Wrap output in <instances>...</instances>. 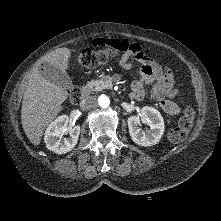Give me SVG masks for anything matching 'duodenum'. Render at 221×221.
<instances>
[{
  "label": "duodenum",
  "instance_id": "duodenum-1",
  "mask_svg": "<svg viewBox=\"0 0 221 221\" xmlns=\"http://www.w3.org/2000/svg\"><path fill=\"white\" fill-rule=\"evenodd\" d=\"M89 94V87L87 84H84L80 89V98H85ZM131 97L133 98V95L131 94Z\"/></svg>",
  "mask_w": 221,
  "mask_h": 221
}]
</instances>
